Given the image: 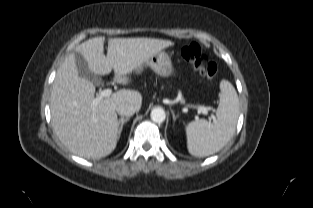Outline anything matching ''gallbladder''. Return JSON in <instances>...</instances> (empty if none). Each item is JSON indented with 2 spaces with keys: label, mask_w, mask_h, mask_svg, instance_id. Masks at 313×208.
Masks as SVG:
<instances>
[{
  "label": "gallbladder",
  "mask_w": 313,
  "mask_h": 208,
  "mask_svg": "<svg viewBox=\"0 0 313 208\" xmlns=\"http://www.w3.org/2000/svg\"><path fill=\"white\" fill-rule=\"evenodd\" d=\"M75 61L78 68L79 73L85 77L86 79L90 80L94 84H100L102 82L101 78L95 75L88 66V63L83 58V56L74 51Z\"/></svg>",
  "instance_id": "gallbladder-1"
}]
</instances>
